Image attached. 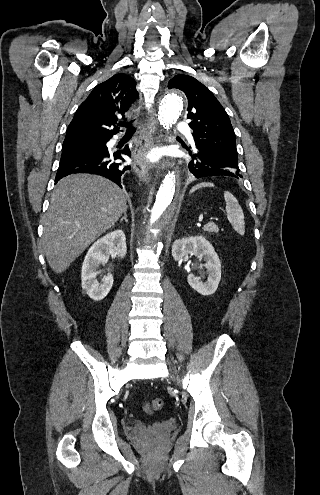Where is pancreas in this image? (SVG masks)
<instances>
[{
  "mask_svg": "<svg viewBox=\"0 0 320 495\" xmlns=\"http://www.w3.org/2000/svg\"><path fill=\"white\" fill-rule=\"evenodd\" d=\"M203 230L208 233H217L219 231L218 226L214 222H209L203 227Z\"/></svg>",
  "mask_w": 320,
  "mask_h": 495,
  "instance_id": "cf45deb5",
  "label": "pancreas"
}]
</instances>
